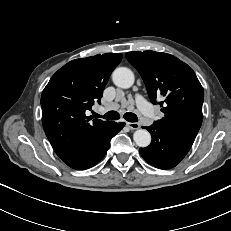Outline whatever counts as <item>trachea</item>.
Instances as JSON below:
<instances>
[{"label":"trachea","instance_id":"obj_1","mask_svg":"<svg viewBox=\"0 0 231 231\" xmlns=\"http://www.w3.org/2000/svg\"><path fill=\"white\" fill-rule=\"evenodd\" d=\"M94 116L99 117V118L108 119V120H118L120 118L119 113L116 112V111H109L103 116L95 113ZM123 117H124L125 120H127L129 122H137L138 121L137 116L134 113H131V112L125 113Z\"/></svg>","mask_w":231,"mask_h":231}]
</instances>
